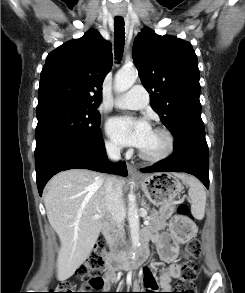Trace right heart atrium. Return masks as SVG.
Segmentation results:
<instances>
[{"label": "right heart atrium", "mask_w": 245, "mask_h": 293, "mask_svg": "<svg viewBox=\"0 0 245 293\" xmlns=\"http://www.w3.org/2000/svg\"><path fill=\"white\" fill-rule=\"evenodd\" d=\"M106 151L110 155H118L120 153V146L116 142L110 140L105 143Z\"/></svg>", "instance_id": "d8ad5b80"}]
</instances>
